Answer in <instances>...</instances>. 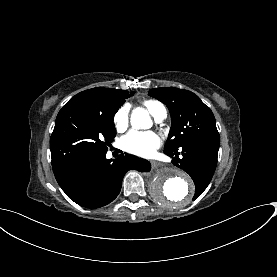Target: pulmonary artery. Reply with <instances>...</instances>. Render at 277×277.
Returning <instances> with one entry per match:
<instances>
[{"instance_id": "e3ab8cb5", "label": "pulmonary artery", "mask_w": 277, "mask_h": 277, "mask_svg": "<svg viewBox=\"0 0 277 277\" xmlns=\"http://www.w3.org/2000/svg\"><path fill=\"white\" fill-rule=\"evenodd\" d=\"M168 112L167 109L161 105L155 115V120L159 123L163 122L167 118Z\"/></svg>"}]
</instances>
